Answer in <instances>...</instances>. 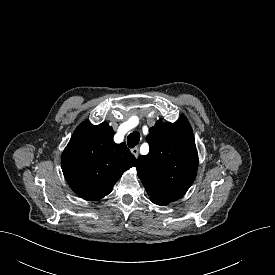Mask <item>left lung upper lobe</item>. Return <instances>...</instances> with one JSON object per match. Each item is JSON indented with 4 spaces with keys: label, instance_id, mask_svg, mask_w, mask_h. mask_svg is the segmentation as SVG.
Returning <instances> with one entry per match:
<instances>
[{
    "label": "left lung upper lobe",
    "instance_id": "obj_1",
    "mask_svg": "<svg viewBox=\"0 0 275 275\" xmlns=\"http://www.w3.org/2000/svg\"><path fill=\"white\" fill-rule=\"evenodd\" d=\"M149 153L139 156L137 174L153 203L182 197L195 180L198 154L185 116L176 123L158 120L146 137Z\"/></svg>",
    "mask_w": 275,
    "mask_h": 275
}]
</instances>
